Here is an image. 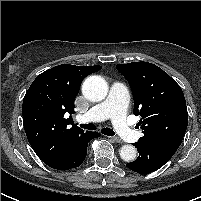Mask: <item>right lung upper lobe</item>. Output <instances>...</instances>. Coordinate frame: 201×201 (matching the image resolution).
I'll use <instances>...</instances> for the list:
<instances>
[{
	"label": "right lung upper lobe",
	"instance_id": "right-lung-upper-lobe-1",
	"mask_svg": "<svg viewBox=\"0 0 201 201\" xmlns=\"http://www.w3.org/2000/svg\"><path fill=\"white\" fill-rule=\"evenodd\" d=\"M100 69L58 65L38 75L26 92L22 111L26 136L44 163L63 156L84 133L72 125L74 101L83 79Z\"/></svg>",
	"mask_w": 201,
	"mask_h": 201
}]
</instances>
